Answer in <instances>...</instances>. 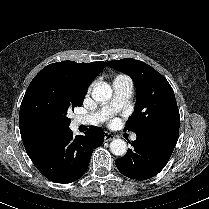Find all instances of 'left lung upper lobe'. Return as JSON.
<instances>
[{
  "label": "left lung upper lobe",
  "mask_w": 209,
  "mask_h": 209,
  "mask_svg": "<svg viewBox=\"0 0 209 209\" xmlns=\"http://www.w3.org/2000/svg\"><path fill=\"white\" fill-rule=\"evenodd\" d=\"M107 64L129 75L136 86L135 110L125 130L135 133L179 134L180 115L174 91L168 81L148 64L131 58Z\"/></svg>",
  "instance_id": "5c2ea615"
}]
</instances>
